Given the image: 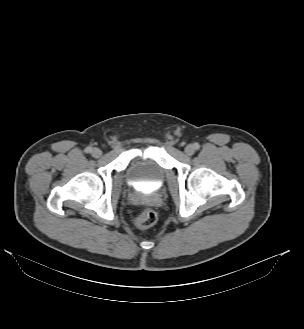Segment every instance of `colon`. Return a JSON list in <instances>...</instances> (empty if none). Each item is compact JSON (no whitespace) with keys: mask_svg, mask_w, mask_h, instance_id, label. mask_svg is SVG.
I'll return each mask as SVG.
<instances>
[{"mask_svg":"<svg viewBox=\"0 0 304 329\" xmlns=\"http://www.w3.org/2000/svg\"><path fill=\"white\" fill-rule=\"evenodd\" d=\"M156 219L157 216L155 211L147 208L134 218L133 224L139 229H147L155 224Z\"/></svg>","mask_w":304,"mask_h":329,"instance_id":"5ec220e1","label":"colon"}]
</instances>
